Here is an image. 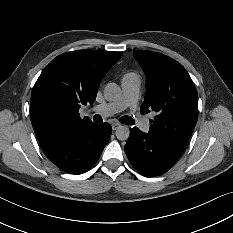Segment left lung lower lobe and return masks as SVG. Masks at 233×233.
Instances as JSON below:
<instances>
[{
  "instance_id": "left-lung-lower-lobe-1",
  "label": "left lung lower lobe",
  "mask_w": 233,
  "mask_h": 233,
  "mask_svg": "<svg viewBox=\"0 0 233 233\" xmlns=\"http://www.w3.org/2000/svg\"><path fill=\"white\" fill-rule=\"evenodd\" d=\"M185 145L143 133L137 127H133L130 129L124 150L132 166L141 175L152 177L172 168Z\"/></svg>"
}]
</instances>
